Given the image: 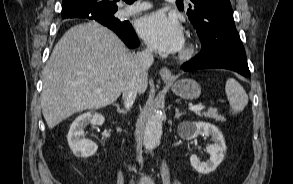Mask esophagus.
<instances>
[{
	"mask_svg": "<svg viewBox=\"0 0 293 184\" xmlns=\"http://www.w3.org/2000/svg\"><path fill=\"white\" fill-rule=\"evenodd\" d=\"M159 75L163 80H171L172 79V73L167 67H162L159 71Z\"/></svg>",
	"mask_w": 293,
	"mask_h": 184,
	"instance_id": "esophagus-1",
	"label": "esophagus"
}]
</instances>
